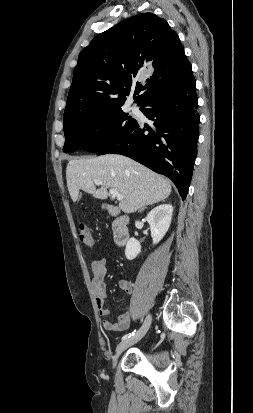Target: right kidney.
I'll return each instance as SVG.
<instances>
[{
  "label": "right kidney",
  "mask_w": 253,
  "mask_h": 413,
  "mask_svg": "<svg viewBox=\"0 0 253 413\" xmlns=\"http://www.w3.org/2000/svg\"><path fill=\"white\" fill-rule=\"evenodd\" d=\"M173 207L171 204H162L152 209L146 219L150 225L153 244H157L165 236L171 224ZM141 252V245L135 238H130L125 249V256L133 260Z\"/></svg>",
  "instance_id": "right-kidney-1"
}]
</instances>
